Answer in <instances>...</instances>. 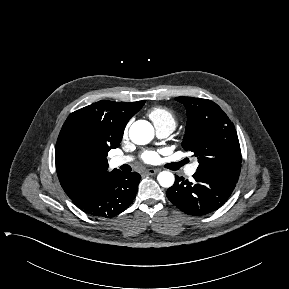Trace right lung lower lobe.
I'll return each instance as SVG.
<instances>
[{
  "label": "right lung lower lobe",
  "instance_id": "right-lung-lower-lobe-1",
  "mask_svg": "<svg viewBox=\"0 0 289 289\" xmlns=\"http://www.w3.org/2000/svg\"><path fill=\"white\" fill-rule=\"evenodd\" d=\"M140 178L136 172L114 171L72 201L92 216H116L133 202Z\"/></svg>",
  "mask_w": 289,
  "mask_h": 289
}]
</instances>
